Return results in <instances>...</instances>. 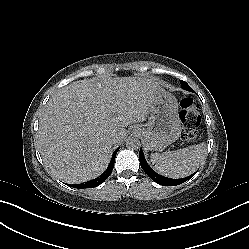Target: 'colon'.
<instances>
[{"mask_svg": "<svg viewBox=\"0 0 249 249\" xmlns=\"http://www.w3.org/2000/svg\"><path fill=\"white\" fill-rule=\"evenodd\" d=\"M180 109L183 137L187 141H196L199 137L198 126L200 124L197 104L193 98L184 97L180 101Z\"/></svg>", "mask_w": 249, "mask_h": 249, "instance_id": "obj_1", "label": "colon"}]
</instances>
